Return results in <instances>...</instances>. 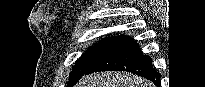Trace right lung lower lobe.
<instances>
[{"mask_svg": "<svg viewBox=\"0 0 205 87\" xmlns=\"http://www.w3.org/2000/svg\"><path fill=\"white\" fill-rule=\"evenodd\" d=\"M151 62L149 56L142 54L139 45L133 39H128L95 63L85 74L108 70L128 71L145 77L160 86L161 75L154 70Z\"/></svg>", "mask_w": 205, "mask_h": 87, "instance_id": "right-lung-lower-lobe-1", "label": "right lung lower lobe"}]
</instances>
